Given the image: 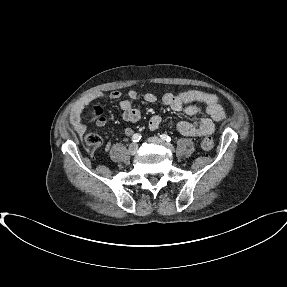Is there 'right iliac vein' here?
I'll return each mask as SVG.
<instances>
[{
    "mask_svg": "<svg viewBox=\"0 0 287 287\" xmlns=\"http://www.w3.org/2000/svg\"><path fill=\"white\" fill-rule=\"evenodd\" d=\"M138 151V145L136 143H131L128 147V152L131 155L136 154Z\"/></svg>",
    "mask_w": 287,
    "mask_h": 287,
    "instance_id": "1",
    "label": "right iliac vein"
}]
</instances>
